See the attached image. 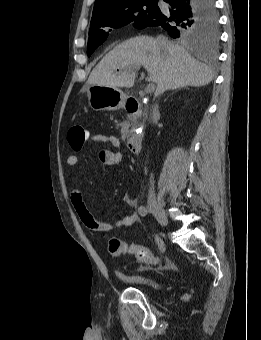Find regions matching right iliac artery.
Segmentation results:
<instances>
[{"label":"right iliac artery","instance_id":"obj_1","mask_svg":"<svg viewBox=\"0 0 261 340\" xmlns=\"http://www.w3.org/2000/svg\"><path fill=\"white\" fill-rule=\"evenodd\" d=\"M138 212L141 216H146L148 214V209H147V207L142 205V206L139 207ZM155 241H156V244L158 245L160 251L163 252L164 249H165L164 248V242L161 239L159 234L155 235Z\"/></svg>","mask_w":261,"mask_h":340}]
</instances>
